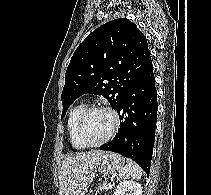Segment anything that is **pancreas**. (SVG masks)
<instances>
[{
    "label": "pancreas",
    "mask_w": 211,
    "mask_h": 195,
    "mask_svg": "<svg viewBox=\"0 0 211 195\" xmlns=\"http://www.w3.org/2000/svg\"><path fill=\"white\" fill-rule=\"evenodd\" d=\"M108 188H109L108 184H103L98 186L97 190L95 191V195H97L100 192H103L104 190H107Z\"/></svg>",
    "instance_id": "obj_1"
}]
</instances>
